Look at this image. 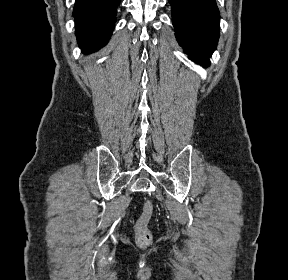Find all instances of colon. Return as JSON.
Instances as JSON below:
<instances>
[{"instance_id":"5ec220e1","label":"colon","mask_w":288,"mask_h":280,"mask_svg":"<svg viewBox=\"0 0 288 280\" xmlns=\"http://www.w3.org/2000/svg\"><path fill=\"white\" fill-rule=\"evenodd\" d=\"M153 211L154 205L152 201H146L143 205L142 213L135 225V236L136 241L139 245H149L152 240V234L148 227V224L152 217Z\"/></svg>"}]
</instances>
